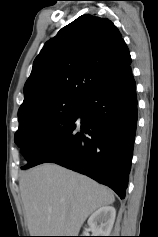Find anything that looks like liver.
I'll return each mask as SVG.
<instances>
[{
  "label": "liver",
  "instance_id": "1",
  "mask_svg": "<svg viewBox=\"0 0 158 237\" xmlns=\"http://www.w3.org/2000/svg\"><path fill=\"white\" fill-rule=\"evenodd\" d=\"M31 236H77L95 210L114 202L113 192L56 164H42L19 181Z\"/></svg>",
  "mask_w": 158,
  "mask_h": 237
}]
</instances>
